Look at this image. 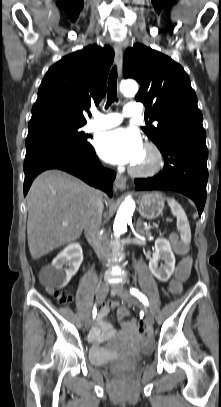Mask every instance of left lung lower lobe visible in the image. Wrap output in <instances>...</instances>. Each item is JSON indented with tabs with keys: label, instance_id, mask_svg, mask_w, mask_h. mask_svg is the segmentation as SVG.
I'll list each match as a JSON object with an SVG mask.
<instances>
[{
	"label": "left lung lower lobe",
	"instance_id": "left-lung-lower-lobe-1",
	"mask_svg": "<svg viewBox=\"0 0 221 407\" xmlns=\"http://www.w3.org/2000/svg\"><path fill=\"white\" fill-rule=\"evenodd\" d=\"M157 147L165 158L162 172L151 178L135 179V189L180 192L195 202L201 216L208 180V149L204 128H175Z\"/></svg>",
	"mask_w": 221,
	"mask_h": 407
}]
</instances>
